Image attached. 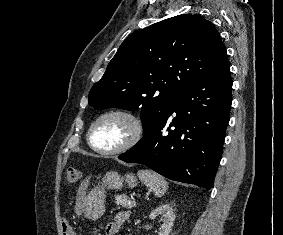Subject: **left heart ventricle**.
Instances as JSON below:
<instances>
[{
  "label": "left heart ventricle",
  "instance_id": "obj_1",
  "mask_svg": "<svg viewBox=\"0 0 283 235\" xmlns=\"http://www.w3.org/2000/svg\"><path fill=\"white\" fill-rule=\"evenodd\" d=\"M130 124L121 117H110L101 121L92 136V142L101 149H113L127 140Z\"/></svg>",
  "mask_w": 283,
  "mask_h": 235
}]
</instances>
